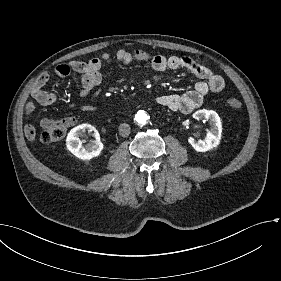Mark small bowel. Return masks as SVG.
Listing matches in <instances>:
<instances>
[{
    "label": "small bowel",
    "instance_id": "c3829d8e",
    "mask_svg": "<svg viewBox=\"0 0 281 281\" xmlns=\"http://www.w3.org/2000/svg\"><path fill=\"white\" fill-rule=\"evenodd\" d=\"M114 59L123 64H129L135 61L148 62L151 68L157 72L186 69L199 78L194 88L184 94H161L157 97L156 101L159 105L174 112L190 113L202 104L208 93L221 92L225 87V81L221 75L198 64L189 57L150 55L142 50L131 51L120 49L115 56L104 53L100 57L93 58L87 62L74 60L69 65H59L55 73L60 77H66L71 72L79 74L81 77V89L78 95L79 97H86L100 84L103 65L112 63ZM50 76V73L45 72L34 83L31 90V99L26 103L24 110L26 118H30L33 114L35 102L42 105H51L58 100L57 94L45 89ZM81 110L84 112H93L96 111V108L83 106ZM50 124L51 121L49 120L42 121L43 126ZM23 137L26 140L35 139V129L32 125L28 124L25 126Z\"/></svg>",
    "mask_w": 281,
    "mask_h": 281
}]
</instances>
